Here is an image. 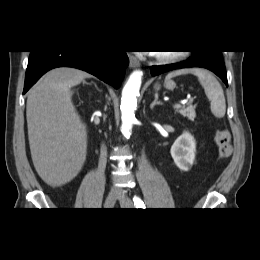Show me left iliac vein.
<instances>
[{"label": "left iliac vein", "instance_id": "4c4485c4", "mask_svg": "<svg viewBox=\"0 0 260 260\" xmlns=\"http://www.w3.org/2000/svg\"><path fill=\"white\" fill-rule=\"evenodd\" d=\"M119 200H120V204L122 207H124V208L133 207V202L126 195L120 196Z\"/></svg>", "mask_w": 260, "mask_h": 260}]
</instances>
